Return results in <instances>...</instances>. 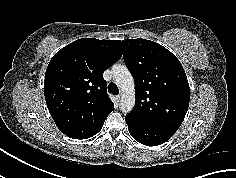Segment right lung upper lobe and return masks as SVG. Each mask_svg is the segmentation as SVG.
Listing matches in <instances>:
<instances>
[{"label": "right lung upper lobe", "mask_w": 236, "mask_h": 178, "mask_svg": "<svg viewBox=\"0 0 236 178\" xmlns=\"http://www.w3.org/2000/svg\"><path fill=\"white\" fill-rule=\"evenodd\" d=\"M122 48L119 40L83 38L50 60L44 80L45 100L57 127L68 137L96 135L114 110L102 75L122 56Z\"/></svg>", "instance_id": "cb5924a9"}]
</instances>
